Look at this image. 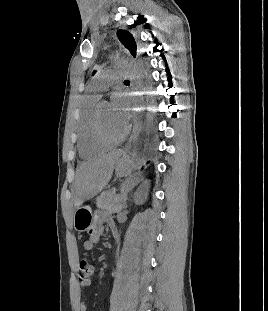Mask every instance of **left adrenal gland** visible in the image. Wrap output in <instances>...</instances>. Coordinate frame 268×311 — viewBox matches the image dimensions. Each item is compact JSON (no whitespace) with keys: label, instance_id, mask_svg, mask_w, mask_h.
<instances>
[{"label":"left adrenal gland","instance_id":"a2214340","mask_svg":"<svg viewBox=\"0 0 268 311\" xmlns=\"http://www.w3.org/2000/svg\"><path fill=\"white\" fill-rule=\"evenodd\" d=\"M141 180L139 178H135L134 180L129 181L123 190L124 197H127V194L130 190H132ZM125 208H127V205H125Z\"/></svg>","mask_w":268,"mask_h":311}]
</instances>
